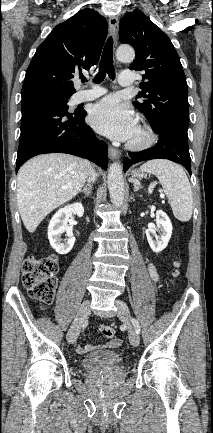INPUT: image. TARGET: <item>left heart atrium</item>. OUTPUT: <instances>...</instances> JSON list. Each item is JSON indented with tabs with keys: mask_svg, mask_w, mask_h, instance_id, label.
<instances>
[{
	"mask_svg": "<svg viewBox=\"0 0 213 433\" xmlns=\"http://www.w3.org/2000/svg\"><path fill=\"white\" fill-rule=\"evenodd\" d=\"M89 122L98 132L119 141L130 140L137 128L131 107L114 96L106 97L93 106Z\"/></svg>",
	"mask_w": 213,
	"mask_h": 433,
	"instance_id": "1",
	"label": "left heart atrium"
}]
</instances>
